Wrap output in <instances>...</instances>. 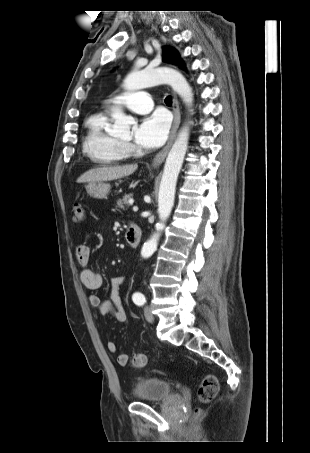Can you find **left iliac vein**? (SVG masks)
I'll use <instances>...</instances> for the list:
<instances>
[{
  "instance_id": "left-iliac-vein-1",
  "label": "left iliac vein",
  "mask_w": 310,
  "mask_h": 453,
  "mask_svg": "<svg viewBox=\"0 0 310 453\" xmlns=\"http://www.w3.org/2000/svg\"><path fill=\"white\" fill-rule=\"evenodd\" d=\"M144 315H145V318L148 322H153L154 321V316L153 314L151 313V309L150 307L146 306L144 308Z\"/></svg>"
}]
</instances>
